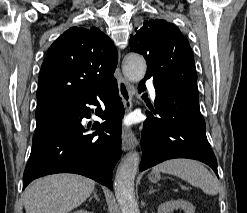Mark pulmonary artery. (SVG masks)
Wrapping results in <instances>:
<instances>
[{
    "mask_svg": "<svg viewBox=\"0 0 247 213\" xmlns=\"http://www.w3.org/2000/svg\"><path fill=\"white\" fill-rule=\"evenodd\" d=\"M148 90L152 99L156 98V90L152 84H148Z\"/></svg>",
    "mask_w": 247,
    "mask_h": 213,
    "instance_id": "1",
    "label": "pulmonary artery"
}]
</instances>
